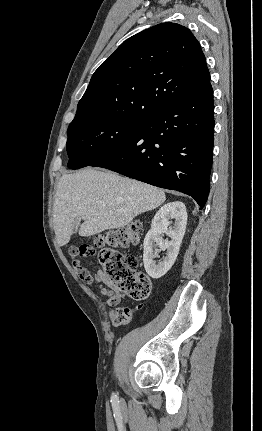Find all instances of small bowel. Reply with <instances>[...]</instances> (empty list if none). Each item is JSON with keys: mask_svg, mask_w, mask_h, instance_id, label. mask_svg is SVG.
<instances>
[{"mask_svg": "<svg viewBox=\"0 0 262 431\" xmlns=\"http://www.w3.org/2000/svg\"><path fill=\"white\" fill-rule=\"evenodd\" d=\"M81 278L83 282L89 286H94L96 284L95 279L88 273L81 275ZM101 293L105 296L107 305L114 308L112 311L113 316L118 310H120L117 306L123 298L122 294L114 289L108 290L106 288H101Z\"/></svg>", "mask_w": 262, "mask_h": 431, "instance_id": "1", "label": "small bowel"}]
</instances>
